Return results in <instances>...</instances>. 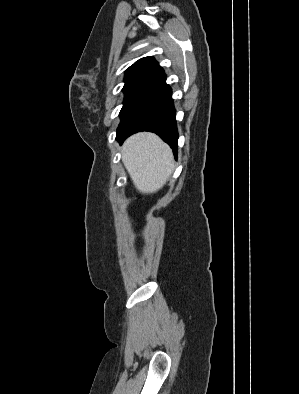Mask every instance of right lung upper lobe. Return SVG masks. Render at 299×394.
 Returning a JSON list of instances; mask_svg holds the SVG:
<instances>
[{
  "label": "right lung upper lobe",
  "instance_id": "1",
  "mask_svg": "<svg viewBox=\"0 0 299 394\" xmlns=\"http://www.w3.org/2000/svg\"><path fill=\"white\" fill-rule=\"evenodd\" d=\"M163 69L153 57L136 61L125 72L124 87H143L150 89L165 79Z\"/></svg>",
  "mask_w": 299,
  "mask_h": 394
}]
</instances>
